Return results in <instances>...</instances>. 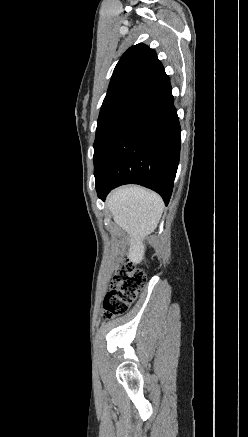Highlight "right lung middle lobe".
Here are the masks:
<instances>
[{"instance_id":"dd1d6c3e","label":"right lung middle lobe","mask_w":248,"mask_h":437,"mask_svg":"<svg viewBox=\"0 0 248 437\" xmlns=\"http://www.w3.org/2000/svg\"><path fill=\"white\" fill-rule=\"evenodd\" d=\"M140 92H128L102 104L94 142V165Z\"/></svg>"}]
</instances>
